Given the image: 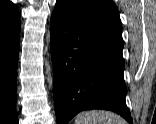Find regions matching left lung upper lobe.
Returning <instances> with one entry per match:
<instances>
[{
    "mask_svg": "<svg viewBox=\"0 0 156 124\" xmlns=\"http://www.w3.org/2000/svg\"><path fill=\"white\" fill-rule=\"evenodd\" d=\"M76 18L97 25L122 38L118 9L112 0H57Z\"/></svg>",
    "mask_w": 156,
    "mask_h": 124,
    "instance_id": "5c2ea615",
    "label": "left lung upper lobe"
}]
</instances>
